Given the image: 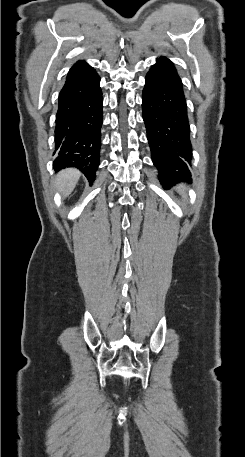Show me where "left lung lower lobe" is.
<instances>
[{"instance_id": "1", "label": "left lung lower lobe", "mask_w": 245, "mask_h": 457, "mask_svg": "<svg viewBox=\"0 0 245 457\" xmlns=\"http://www.w3.org/2000/svg\"><path fill=\"white\" fill-rule=\"evenodd\" d=\"M143 120L154 165L164 188L190 181L192 144L182 81L174 64L157 59L145 78Z\"/></svg>"}]
</instances>
